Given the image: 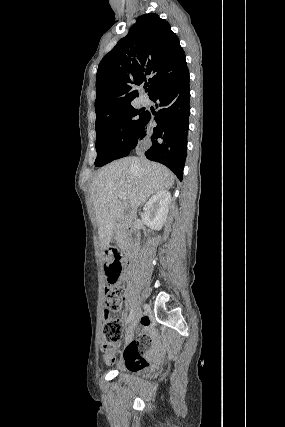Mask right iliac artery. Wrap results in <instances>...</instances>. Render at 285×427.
Returning <instances> with one entry per match:
<instances>
[{
    "instance_id": "1",
    "label": "right iliac artery",
    "mask_w": 285,
    "mask_h": 427,
    "mask_svg": "<svg viewBox=\"0 0 285 427\" xmlns=\"http://www.w3.org/2000/svg\"><path fill=\"white\" fill-rule=\"evenodd\" d=\"M133 316H134V310L131 309L130 314H129L128 318H127L126 324H129L131 322Z\"/></svg>"
}]
</instances>
